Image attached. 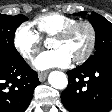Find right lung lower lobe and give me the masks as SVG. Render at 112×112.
<instances>
[{
  "instance_id": "1",
  "label": "right lung lower lobe",
  "mask_w": 112,
  "mask_h": 112,
  "mask_svg": "<svg viewBox=\"0 0 112 112\" xmlns=\"http://www.w3.org/2000/svg\"><path fill=\"white\" fill-rule=\"evenodd\" d=\"M39 84L37 73L22 57L0 63V112H24Z\"/></svg>"
}]
</instances>
